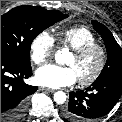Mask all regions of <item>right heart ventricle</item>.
<instances>
[{
    "instance_id": "1",
    "label": "right heart ventricle",
    "mask_w": 122,
    "mask_h": 122,
    "mask_svg": "<svg viewBox=\"0 0 122 122\" xmlns=\"http://www.w3.org/2000/svg\"><path fill=\"white\" fill-rule=\"evenodd\" d=\"M58 41L71 49H77L85 45L97 43L95 34L87 27L77 26L59 31Z\"/></svg>"
}]
</instances>
